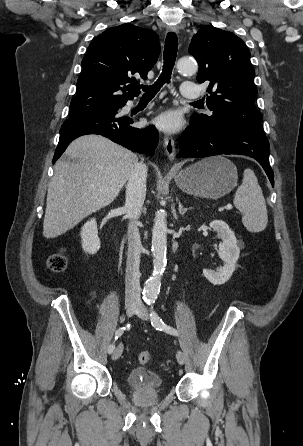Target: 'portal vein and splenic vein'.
<instances>
[{
	"label": "portal vein and splenic vein",
	"instance_id": "portal-vein-and-splenic-vein-1",
	"mask_svg": "<svg viewBox=\"0 0 303 446\" xmlns=\"http://www.w3.org/2000/svg\"><path fill=\"white\" fill-rule=\"evenodd\" d=\"M232 208H233V206L231 204H228V205L225 206L226 210H232Z\"/></svg>",
	"mask_w": 303,
	"mask_h": 446
}]
</instances>
